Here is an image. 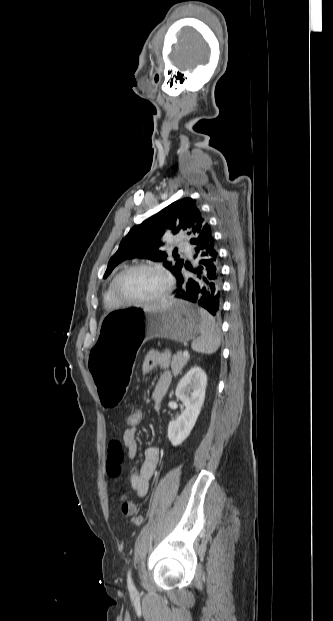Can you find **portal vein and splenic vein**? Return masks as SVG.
I'll return each instance as SVG.
<instances>
[{"label": "portal vein and splenic vein", "instance_id": "portal-vein-and-splenic-vein-1", "mask_svg": "<svg viewBox=\"0 0 333 621\" xmlns=\"http://www.w3.org/2000/svg\"><path fill=\"white\" fill-rule=\"evenodd\" d=\"M183 356H184V357H186V358H189V353H188V351H184V352H183Z\"/></svg>", "mask_w": 333, "mask_h": 621}]
</instances>
